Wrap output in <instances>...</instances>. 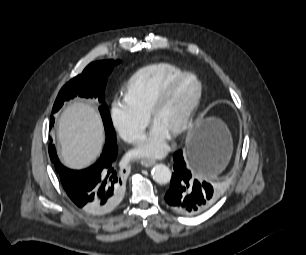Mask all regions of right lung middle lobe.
I'll list each match as a JSON object with an SVG mask.
<instances>
[{
    "instance_id": "right-lung-middle-lobe-1",
    "label": "right lung middle lobe",
    "mask_w": 306,
    "mask_h": 255,
    "mask_svg": "<svg viewBox=\"0 0 306 255\" xmlns=\"http://www.w3.org/2000/svg\"><path fill=\"white\" fill-rule=\"evenodd\" d=\"M119 62L118 60L116 62L114 60H104L89 64L80 75L73 78L60 90L52 112H57L62 107L64 101L72 99L75 96L87 98L98 97L101 103L99 111L104 123L106 141L115 142L116 134L108 107L104 101V91L108 75L113 70L114 65ZM52 121L53 118L51 117V123ZM49 152L51 153V150ZM50 157L53 162H58L57 157H53L51 154Z\"/></svg>"
}]
</instances>
